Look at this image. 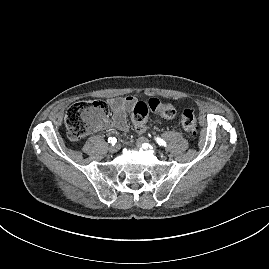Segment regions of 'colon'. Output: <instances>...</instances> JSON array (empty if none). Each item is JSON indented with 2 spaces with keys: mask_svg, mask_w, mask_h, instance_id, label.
Returning <instances> with one entry per match:
<instances>
[{
  "mask_svg": "<svg viewBox=\"0 0 269 269\" xmlns=\"http://www.w3.org/2000/svg\"><path fill=\"white\" fill-rule=\"evenodd\" d=\"M149 112H158L166 118L175 115V109L170 103L152 98L147 102H137L133 109V120L139 132L145 129V121ZM107 115V107L100 100L81 101L73 104L67 111L65 124L70 139L80 140L88 133L102 126ZM183 129L191 137L198 134V126L192 110L185 109L181 113Z\"/></svg>",
  "mask_w": 269,
  "mask_h": 269,
  "instance_id": "1",
  "label": "colon"
}]
</instances>
